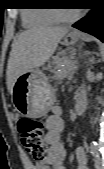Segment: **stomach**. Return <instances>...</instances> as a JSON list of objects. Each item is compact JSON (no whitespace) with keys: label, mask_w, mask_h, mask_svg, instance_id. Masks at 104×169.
<instances>
[{"label":"stomach","mask_w":104,"mask_h":169,"mask_svg":"<svg viewBox=\"0 0 104 169\" xmlns=\"http://www.w3.org/2000/svg\"><path fill=\"white\" fill-rule=\"evenodd\" d=\"M78 37L66 35L62 44L72 45ZM16 111L23 117L40 118L45 116L55 103V91L46 75L39 69L27 71L14 83L11 93Z\"/></svg>","instance_id":"stomach-1"}]
</instances>
